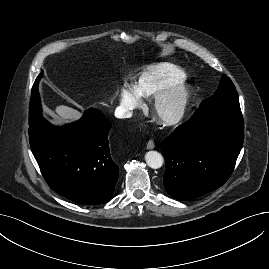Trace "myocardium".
<instances>
[{
    "label": "myocardium",
    "mask_w": 269,
    "mask_h": 269,
    "mask_svg": "<svg viewBox=\"0 0 269 269\" xmlns=\"http://www.w3.org/2000/svg\"><path fill=\"white\" fill-rule=\"evenodd\" d=\"M190 90L186 85L178 84L155 94L150 102V112L159 124L171 127L179 124L185 117L190 103ZM171 104L170 113H164L163 107Z\"/></svg>",
    "instance_id": "obj_1"
}]
</instances>
